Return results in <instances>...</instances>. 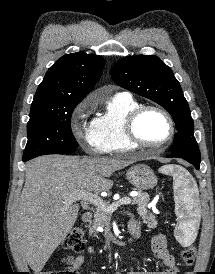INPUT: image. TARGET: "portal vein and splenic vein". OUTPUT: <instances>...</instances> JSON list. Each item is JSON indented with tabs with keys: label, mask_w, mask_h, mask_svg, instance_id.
<instances>
[{
	"label": "portal vein and splenic vein",
	"mask_w": 215,
	"mask_h": 274,
	"mask_svg": "<svg viewBox=\"0 0 215 274\" xmlns=\"http://www.w3.org/2000/svg\"><path fill=\"white\" fill-rule=\"evenodd\" d=\"M136 196V194L134 195ZM65 199L67 201H75V200H82L84 203H90L94 206L101 208L103 211L111 214L117 210V208L121 205H128L131 203V198L124 197L119 201L112 203L109 206H105V202L101 199L98 195L93 194L91 192L85 190H77L65 195Z\"/></svg>",
	"instance_id": "1"
}]
</instances>
